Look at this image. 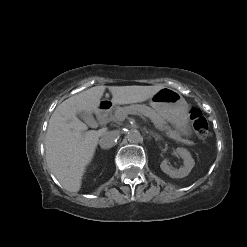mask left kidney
<instances>
[{"label":"left kidney","instance_id":"left-kidney-1","mask_svg":"<svg viewBox=\"0 0 247 247\" xmlns=\"http://www.w3.org/2000/svg\"><path fill=\"white\" fill-rule=\"evenodd\" d=\"M176 154H178L184 160V166L179 169H174L168 165V160L164 159L161 164V170L169 175L171 178H183L188 176L192 168L195 165L194 159L191 157L190 152L185 148H177Z\"/></svg>","mask_w":247,"mask_h":247}]
</instances>
